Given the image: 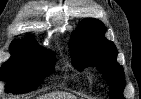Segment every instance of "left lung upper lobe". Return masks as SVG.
Segmentation results:
<instances>
[{
  "label": "left lung upper lobe",
  "instance_id": "1",
  "mask_svg": "<svg viewBox=\"0 0 141 99\" xmlns=\"http://www.w3.org/2000/svg\"><path fill=\"white\" fill-rule=\"evenodd\" d=\"M105 31V26L99 20L84 19L70 40L72 62L80 70L95 66L110 85V98L124 99L123 67L116 60L118 52L115 45L104 37Z\"/></svg>",
  "mask_w": 141,
  "mask_h": 99
}]
</instances>
